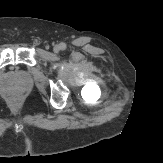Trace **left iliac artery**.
Wrapping results in <instances>:
<instances>
[{"instance_id": "44dca946", "label": "left iliac artery", "mask_w": 163, "mask_h": 163, "mask_svg": "<svg viewBox=\"0 0 163 163\" xmlns=\"http://www.w3.org/2000/svg\"><path fill=\"white\" fill-rule=\"evenodd\" d=\"M60 49L61 50H65L66 49V44L65 43H61L60 44Z\"/></svg>"}]
</instances>
